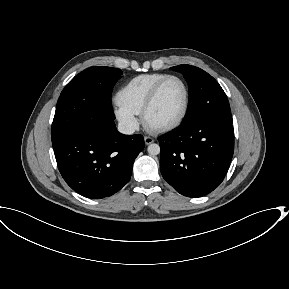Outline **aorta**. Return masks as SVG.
I'll use <instances>...</instances> for the list:
<instances>
[{
	"label": "aorta",
	"mask_w": 289,
	"mask_h": 289,
	"mask_svg": "<svg viewBox=\"0 0 289 289\" xmlns=\"http://www.w3.org/2000/svg\"><path fill=\"white\" fill-rule=\"evenodd\" d=\"M147 151L150 155L155 156L160 153V146L158 144H150L147 148Z\"/></svg>",
	"instance_id": "762f6f07"
}]
</instances>
